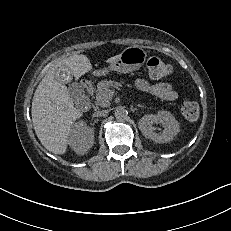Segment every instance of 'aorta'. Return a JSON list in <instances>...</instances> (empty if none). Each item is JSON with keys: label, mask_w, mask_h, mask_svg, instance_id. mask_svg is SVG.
<instances>
[{"label": "aorta", "mask_w": 231, "mask_h": 231, "mask_svg": "<svg viewBox=\"0 0 231 231\" xmlns=\"http://www.w3.org/2000/svg\"><path fill=\"white\" fill-rule=\"evenodd\" d=\"M127 114V110L121 106L117 107L114 111L115 118L119 120L124 119Z\"/></svg>", "instance_id": "aorta-1"}]
</instances>
